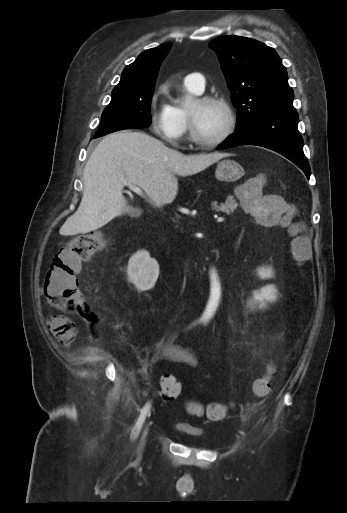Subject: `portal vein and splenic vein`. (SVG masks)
<instances>
[{
    "instance_id": "portal-vein-and-splenic-vein-1",
    "label": "portal vein and splenic vein",
    "mask_w": 347,
    "mask_h": 513,
    "mask_svg": "<svg viewBox=\"0 0 347 513\" xmlns=\"http://www.w3.org/2000/svg\"><path fill=\"white\" fill-rule=\"evenodd\" d=\"M125 185H126V186H128V188H129L130 190H132L133 192H135V193H137V194H139V195H142V190H141V188H139L138 186H135V185L130 184V183H125ZM224 220H225V218H223V217H218V218H217V222H218V223H221V222H223Z\"/></svg>"
}]
</instances>
